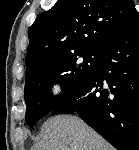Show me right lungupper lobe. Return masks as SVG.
I'll return each instance as SVG.
<instances>
[{
    "mask_svg": "<svg viewBox=\"0 0 139 150\" xmlns=\"http://www.w3.org/2000/svg\"><path fill=\"white\" fill-rule=\"evenodd\" d=\"M134 11L132 0H58L29 29L26 76L54 58L100 51Z\"/></svg>",
    "mask_w": 139,
    "mask_h": 150,
    "instance_id": "1",
    "label": "right lung upper lobe"
}]
</instances>
